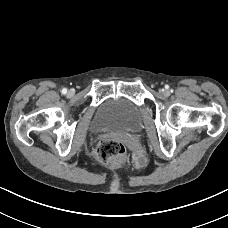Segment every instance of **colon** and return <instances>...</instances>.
I'll return each instance as SVG.
<instances>
[{
    "instance_id": "colon-1",
    "label": "colon",
    "mask_w": 228,
    "mask_h": 228,
    "mask_svg": "<svg viewBox=\"0 0 228 228\" xmlns=\"http://www.w3.org/2000/svg\"><path fill=\"white\" fill-rule=\"evenodd\" d=\"M125 154L122 143L113 139H105L94 149V157L101 163H108L120 159Z\"/></svg>"
}]
</instances>
